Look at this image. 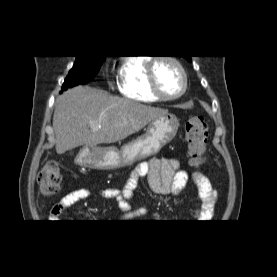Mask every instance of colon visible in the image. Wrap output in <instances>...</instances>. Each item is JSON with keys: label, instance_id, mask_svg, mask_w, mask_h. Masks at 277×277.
Wrapping results in <instances>:
<instances>
[{"label": "colon", "instance_id": "1", "mask_svg": "<svg viewBox=\"0 0 277 277\" xmlns=\"http://www.w3.org/2000/svg\"><path fill=\"white\" fill-rule=\"evenodd\" d=\"M208 137V125L202 116L188 119L185 126V141L190 161L194 167L202 164ZM62 182L61 168L55 161H49L38 176V184L43 194L54 193Z\"/></svg>", "mask_w": 277, "mask_h": 277}]
</instances>
